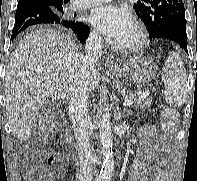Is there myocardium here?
I'll use <instances>...</instances> for the list:
<instances>
[{
  "label": "myocardium",
  "instance_id": "1",
  "mask_svg": "<svg viewBox=\"0 0 197 181\" xmlns=\"http://www.w3.org/2000/svg\"><path fill=\"white\" fill-rule=\"evenodd\" d=\"M134 31L135 36L133 40L128 43L119 44L118 48L120 50L126 52H138L146 46L148 41V33L145 27L140 23H136L134 25Z\"/></svg>",
  "mask_w": 197,
  "mask_h": 181
}]
</instances>
